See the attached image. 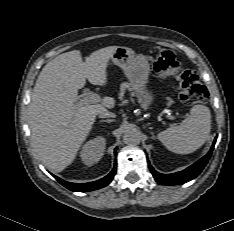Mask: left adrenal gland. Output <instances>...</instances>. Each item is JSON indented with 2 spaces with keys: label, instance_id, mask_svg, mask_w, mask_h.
I'll return each mask as SVG.
<instances>
[{
  "label": "left adrenal gland",
  "instance_id": "left-adrenal-gland-1",
  "mask_svg": "<svg viewBox=\"0 0 234 231\" xmlns=\"http://www.w3.org/2000/svg\"><path fill=\"white\" fill-rule=\"evenodd\" d=\"M150 129H152V127H150ZM151 134H152V138L155 139L156 137H155L154 133L151 132Z\"/></svg>",
  "mask_w": 234,
  "mask_h": 231
}]
</instances>
